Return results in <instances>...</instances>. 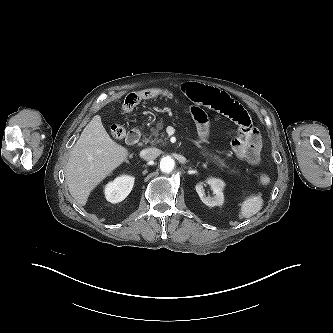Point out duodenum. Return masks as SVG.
I'll list each match as a JSON object with an SVG mask.
<instances>
[{
    "label": "duodenum",
    "instance_id": "1",
    "mask_svg": "<svg viewBox=\"0 0 333 333\" xmlns=\"http://www.w3.org/2000/svg\"><path fill=\"white\" fill-rule=\"evenodd\" d=\"M141 131L139 128L131 129L126 136V143L128 145H135L140 141Z\"/></svg>",
    "mask_w": 333,
    "mask_h": 333
}]
</instances>
